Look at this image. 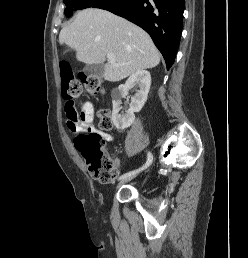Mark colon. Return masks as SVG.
Returning <instances> with one entry per match:
<instances>
[{"label": "colon", "mask_w": 248, "mask_h": 258, "mask_svg": "<svg viewBox=\"0 0 248 258\" xmlns=\"http://www.w3.org/2000/svg\"><path fill=\"white\" fill-rule=\"evenodd\" d=\"M63 95L66 100L65 111H75V105L82 92V85L91 95H99L104 92L101 80L96 76L80 75L74 79L68 64L61 65ZM99 125L103 131H111L113 120L111 112L103 108L98 113ZM72 131V130H71ZM74 146L82 155L92 175L101 183H111L118 175L114 160L105 153L103 139L98 132L83 131L74 138Z\"/></svg>", "instance_id": "5ec220e1"}]
</instances>
